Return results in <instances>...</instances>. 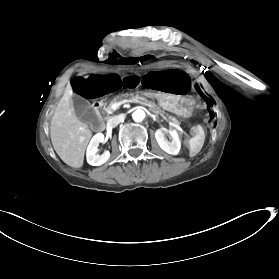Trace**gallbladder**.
Wrapping results in <instances>:
<instances>
[{
    "label": "gallbladder",
    "mask_w": 279,
    "mask_h": 279,
    "mask_svg": "<svg viewBox=\"0 0 279 279\" xmlns=\"http://www.w3.org/2000/svg\"><path fill=\"white\" fill-rule=\"evenodd\" d=\"M73 108L76 116L83 122L88 123L90 128L97 130L101 128L103 121L90 108L89 102L84 98L74 95L72 97Z\"/></svg>",
    "instance_id": "bac80fb5"
}]
</instances>
